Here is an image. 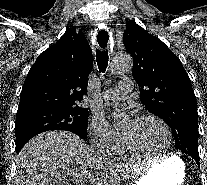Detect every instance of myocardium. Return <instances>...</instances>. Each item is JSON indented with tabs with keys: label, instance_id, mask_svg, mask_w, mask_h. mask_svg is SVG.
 I'll list each match as a JSON object with an SVG mask.
<instances>
[{
	"label": "myocardium",
	"instance_id": "1",
	"mask_svg": "<svg viewBox=\"0 0 207 185\" xmlns=\"http://www.w3.org/2000/svg\"><path fill=\"white\" fill-rule=\"evenodd\" d=\"M138 120H154V121L158 122L162 126V128L165 132V135L167 138V146L164 149V151H162L160 153H147V152L139 151L131 145L130 140L127 137V135L125 133H122V144H123L125 150L127 151V153L132 156H135V157L151 158V159L163 158V157H166L167 155H169L171 148H172V145H173V135H172L171 129H170L169 125L166 123V121L163 120L159 116L151 115V114L142 115L138 118Z\"/></svg>",
	"mask_w": 207,
	"mask_h": 185
}]
</instances>
